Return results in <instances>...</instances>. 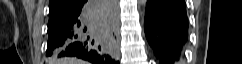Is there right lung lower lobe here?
Listing matches in <instances>:
<instances>
[{"label": "right lung lower lobe", "mask_w": 242, "mask_h": 64, "mask_svg": "<svg viewBox=\"0 0 242 64\" xmlns=\"http://www.w3.org/2000/svg\"><path fill=\"white\" fill-rule=\"evenodd\" d=\"M115 0H83L71 17L48 29L50 60L77 57L92 64H116L108 50L115 19Z\"/></svg>", "instance_id": "right-lung-lower-lobe-1"}]
</instances>
